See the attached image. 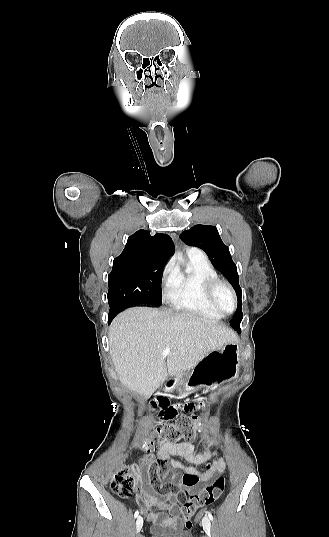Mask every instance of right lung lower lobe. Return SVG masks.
Masks as SVG:
<instances>
[{"mask_svg":"<svg viewBox=\"0 0 329 537\" xmlns=\"http://www.w3.org/2000/svg\"><path fill=\"white\" fill-rule=\"evenodd\" d=\"M113 318H114L113 316H108V323H110Z\"/></svg>","mask_w":329,"mask_h":537,"instance_id":"right-lung-lower-lobe-1","label":"right lung lower lobe"}]
</instances>
